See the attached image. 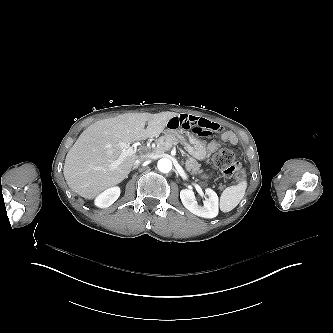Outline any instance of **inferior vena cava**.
<instances>
[{"instance_id":"inferior-vena-cava-1","label":"inferior vena cava","mask_w":333,"mask_h":333,"mask_svg":"<svg viewBox=\"0 0 333 333\" xmlns=\"http://www.w3.org/2000/svg\"><path fill=\"white\" fill-rule=\"evenodd\" d=\"M150 160L148 157H141L140 159L136 160L134 163V167H138L141 163H144L146 161Z\"/></svg>"}]
</instances>
